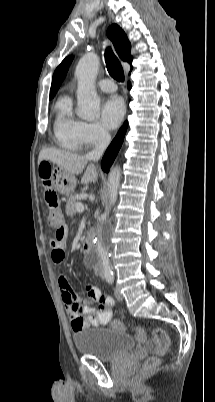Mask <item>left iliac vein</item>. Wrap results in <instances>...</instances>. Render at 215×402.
I'll return each instance as SVG.
<instances>
[{"label":"left iliac vein","instance_id":"obj_1","mask_svg":"<svg viewBox=\"0 0 215 402\" xmlns=\"http://www.w3.org/2000/svg\"><path fill=\"white\" fill-rule=\"evenodd\" d=\"M115 297L119 301H121L123 299V296H122V294L120 293V290L117 287L115 288Z\"/></svg>","mask_w":215,"mask_h":402}]
</instances>
